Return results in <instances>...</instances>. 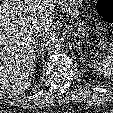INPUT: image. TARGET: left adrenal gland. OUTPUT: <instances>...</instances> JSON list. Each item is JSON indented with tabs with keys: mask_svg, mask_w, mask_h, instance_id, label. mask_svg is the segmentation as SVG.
<instances>
[{
	"mask_svg": "<svg viewBox=\"0 0 113 113\" xmlns=\"http://www.w3.org/2000/svg\"><path fill=\"white\" fill-rule=\"evenodd\" d=\"M79 50H80V54H83V53H82V49H81V47H79Z\"/></svg>",
	"mask_w": 113,
	"mask_h": 113,
	"instance_id": "a2214340",
	"label": "left adrenal gland"
}]
</instances>
